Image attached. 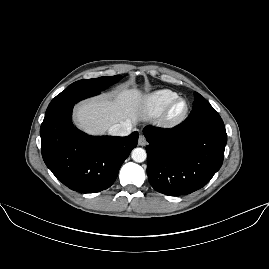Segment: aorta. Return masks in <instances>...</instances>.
<instances>
[{
  "label": "aorta",
  "mask_w": 269,
  "mask_h": 269,
  "mask_svg": "<svg viewBox=\"0 0 269 269\" xmlns=\"http://www.w3.org/2000/svg\"><path fill=\"white\" fill-rule=\"evenodd\" d=\"M147 154L146 151L142 148H135L132 151V159L137 163H142L146 160Z\"/></svg>",
  "instance_id": "1"
}]
</instances>
